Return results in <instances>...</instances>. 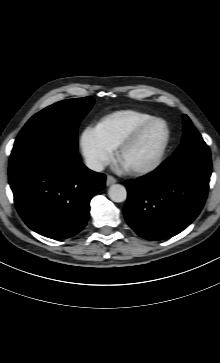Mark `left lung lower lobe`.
Returning a JSON list of instances; mask_svg holds the SVG:
<instances>
[{
	"label": "left lung lower lobe",
	"mask_w": 220,
	"mask_h": 363,
	"mask_svg": "<svg viewBox=\"0 0 220 363\" xmlns=\"http://www.w3.org/2000/svg\"><path fill=\"white\" fill-rule=\"evenodd\" d=\"M211 172L209 150L187 149L174 153L153 172L127 181L128 225L147 240L180 233L200 213Z\"/></svg>",
	"instance_id": "left-lung-lower-lobe-1"
}]
</instances>
